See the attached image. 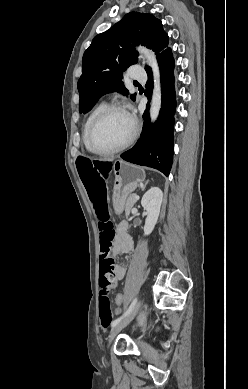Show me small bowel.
I'll list each match as a JSON object with an SVG mask.
<instances>
[{
    "label": "small bowel",
    "instance_id": "c3829d8e",
    "mask_svg": "<svg viewBox=\"0 0 248 389\" xmlns=\"http://www.w3.org/2000/svg\"><path fill=\"white\" fill-rule=\"evenodd\" d=\"M113 254H131L134 251L133 241L128 233V224L125 221L120 222L117 225L116 236L113 241ZM126 267L119 265L116 268L117 280H122L126 275ZM120 307H118V311Z\"/></svg>",
    "mask_w": 248,
    "mask_h": 389
}]
</instances>
